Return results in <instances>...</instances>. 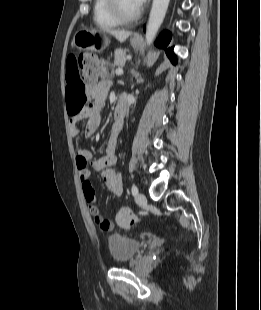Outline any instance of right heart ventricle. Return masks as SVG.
Here are the masks:
<instances>
[{"instance_id": "e07e8e85", "label": "right heart ventricle", "mask_w": 261, "mask_h": 310, "mask_svg": "<svg viewBox=\"0 0 261 310\" xmlns=\"http://www.w3.org/2000/svg\"><path fill=\"white\" fill-rule=\"evenodd\" d=\"M93 20L101 29H112L120 25L108 12L105 0L93 1Z\"/></svg>"}]
</instances>
